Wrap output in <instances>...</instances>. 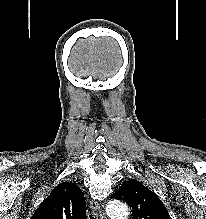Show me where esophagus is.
<instances>
[{
  "label": "esophagus",
  "instance_id": "34e87169",
  "mask_svg": "<svg viewBox=\"0 0 206 219\" xmlns=\"http://www.w3.org/2000/svg\"><path fill=\"white\" fill-rule=\"evenodd\" d=\"M90 208L94 216H96L98 219H107L104 211L102 210V206L99 203V201L92 199L90 201Z\"/></svg>",
  "mask_w": 206,
  "mask_h": 219
}]
</instances>
